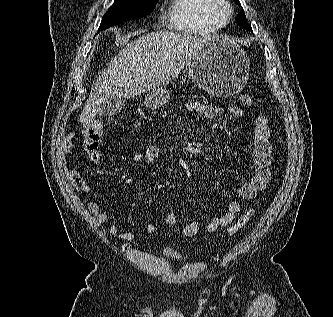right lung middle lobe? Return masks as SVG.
Instances as JSON below:
<instances>
[{
	"label": "right lung middle lobe",
	"instance_id": "obj_1",
	"mask_svg": "<svg viewBox=\"0 0 333 317\" xmlns=\"http://www.w3.org/2000/svg\"><path fill=\"white\" fill-rule=\"evenodd\" d=\"M158 0H115L102 18L99 30L150 14Z\"/></svg>",
	"mask_w": 333,
	"mask_h": 317
}]
</instances>
